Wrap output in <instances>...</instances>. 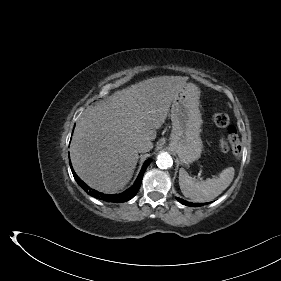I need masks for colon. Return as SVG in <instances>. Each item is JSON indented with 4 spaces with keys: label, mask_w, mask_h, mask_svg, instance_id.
<instances>
[{
    "label": "colon",
    "mask_w": 281,
    "mask_h": 281,
    "mask_svg": "<svg viewBox=\"0 0 281 281\" xmlns=\"http://www.w3.org/2000/svg\"><path fill=\"white\" fill-rule=\"evenodd\" d=\"M212 121L216 126L227 130L226 137L219 143V150L222 152L231 151L235 157H238L241 150L240 139L236 128L230 124L228 115L222 112H215L212 115Z\"/></svg>",
    "instance_id": "1"
}]
</instances>
